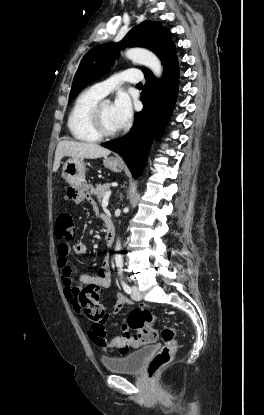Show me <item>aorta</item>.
<instances>
[{"label": "aorta", "instance_id": "obj_1", "mask_svg": "<svg viewBox=\"0 0 264 415\" xmlns=\"http://www.w3.org/2000/svg\"><path fill=\"white\" fill-rule=\"evenodd\" d=\"M126 57L136 63L143 64L147 66L156 77H160L162 75V65L158 57L149 50L143 48H131L128 49L125 53ZM134 191V188H133ZM116 251L121 250V243L118 240L115 246ZM115 264L118 268L123 266V257L121 254H116L114 256Z\"/></svg>", "mask_w": 264, "mask_h": 415}]
</instances>
